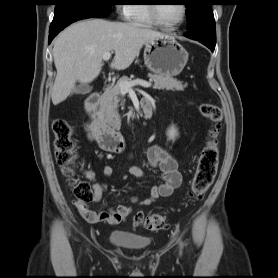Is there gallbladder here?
<instances>
[{
  "instance_id": "1",
  "label": "gallbladder",
  "mask_w": 278,
  "mask_h": 278,
  "mask_svg": "<svg viewBox=\"0 0 278 278\" xmlns=\"http://www.w3.org/2000/svg\"><path fill=\"white\" fill-rule=\"evenodd\" d=\"M91 90H92V88L88 85H78L75 88L74 93L85 95V94L90 93Z\"/></svg>"
}]
</instances>
